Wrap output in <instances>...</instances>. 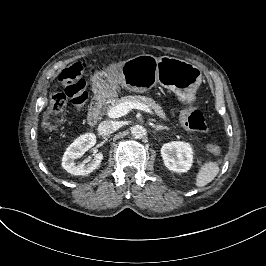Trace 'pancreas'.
<instances>
[{"label": "pancreas", "instance_id": "obj_1", "mask_svg": "<svg viewBox=\"0 0 266 266\" xmlns=\"http://www.w3.org/2000/svg\"><path fill=\"white\" fill-rule=\"evenodd\" d=\"M124 101H132V102H139L142 104L147 105L150 109L154 111V113L161 119L167 120L166 114L163 111L162 107L157 104L152 98L141 96V95H135V96H126L121 98V100H118L117 103L124 102Z\"/></svg>", "mask_w": 266, "mask_h": 266}]
</instances>
